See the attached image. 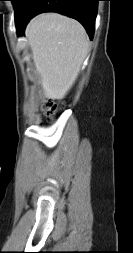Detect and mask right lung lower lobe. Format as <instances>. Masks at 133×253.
I'll return each mask as SVG.
<instances>
[{"label": "right lung lower lobe", "instance_id": "98d812e1", "mask_svg": "<svg viewBox=\"0 0 133 253\" xmlns=\"http://www.w3.org/2000/svg\"><path fill=\"white\" fill-rule=\"evenodd\" d=\"M98 1L100 0H26L15 21L18 35L23 34L25 25L37 14L57 12L78 20L92 39Z\"/></svg>", "mask_w": 133, "mask_h": 253}]
</instances>
